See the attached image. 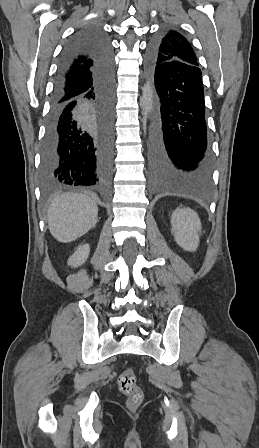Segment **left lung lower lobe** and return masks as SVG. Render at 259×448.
Listing matches in <instances>:
<instances>
[{"instance_id":"obj_1","label":"left lung lower lobe","mask_w":259,"mask_h":448,"mask_svg":"<svg viewBox=\"0 0 259 448\" xmlns=\"http://www.w3.org/2000/svg\"><path fill=\"white\" fill-rule=\"evenodd\" d=\"M146 58L150 84L159 96L152 121L149 154L153 187L159 191L200 193L209 189L213 158L205 117L199 66Z\"/></svg>"}]
</instances>
